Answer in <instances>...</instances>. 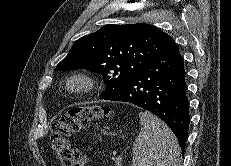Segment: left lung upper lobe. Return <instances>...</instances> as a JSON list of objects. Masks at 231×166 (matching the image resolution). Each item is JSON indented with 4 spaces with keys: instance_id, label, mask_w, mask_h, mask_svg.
I'll use <instances>...</instances> for the list:
<instances>
[{
    "instance_id": "1",
    "label": "left lung upper lobe",
    "mask_w": 231,
    "mask_h": 166,
    "mask_svg": "<svg viewBox=\"0 0 231 166\" xmlns=\"http://www.w3.org/2000/svg\"><path fill=\"white\" fill-rule=\"evenodd\" d=\"M171 40L149 24L105 25L78 39L56 70L85 68L102 74L105 98L155 59Z\"/></svg>"
}]
</instances>
